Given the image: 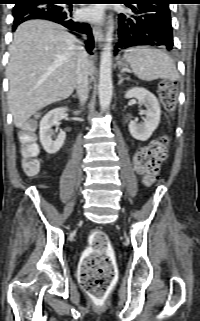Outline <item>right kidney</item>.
Segmentation results:
<instances>
[{
    "label": "right kidney",
    "instance_id": "obj_1",
    "mask_svg": "<svg viewBox=\"0 0 200 321\" xmlns=\"http://www.w3.org/2000/svg\"><path fill=\"white\" fill-rule=\"evenodd\" d=\"M68 111V108L61 107L49 111L40 121L39 136L44 150L48 154H55L64 144L66 134L60 131L59 135L53 140L54 134L52 127L60 125L59 118Z\"/></svg>",
    "mask_w": 200,
    "mask_h": 321
}]
</instances>
